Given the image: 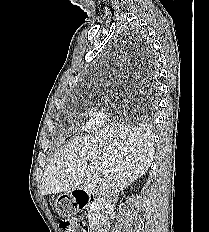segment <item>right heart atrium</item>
Segmentation results:
<instances>
[{
	"label": "right heart atrium",
	"instance_id": "right-heart-atrium-1",
	"mask_svg": "<svg viewBox=\"0 0 209 232\" xmlns=\"http://www.w3.org/2000/svg\"><path fill=\"white\" fill-rule=\"evenodd\" d=\"M107 110L100 104L95 103L89 108L86 128L95 131L103 127L108 121Z\"/></svg>",
	"mask_w": 209,
	"mask_h": 232
}]
</instances>
